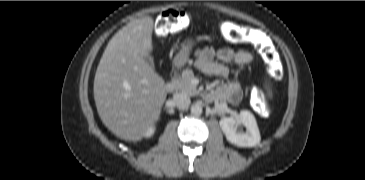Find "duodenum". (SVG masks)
<instances>
[{"label":"duodenum","instance_id":"obj_1","mask_svg":"<svg viewBox=\"0 0 365 180\" xmlns=\"http://www.w3.org/2000/svg\"><path fill=\"white\" fill-rule=\"evenodd\" d=\"M177 88V80L175 77H172L166 84H165V90L168 92H173Z\"/></svg>","mask_w":365,"mask_h":180}]
</instances>
